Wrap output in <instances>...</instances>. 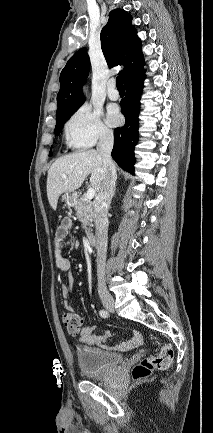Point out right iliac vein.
<instances>
[{"label": "right iliac vein", "mask_w": 213, "mask_h": 433, "mask_svg": "<svg viewBox=\"0 0 213 433\" xmlns=\"http://www.w3.org/2000/svg\"><path fill=\"white\" fill-rule=\"evenodd\" d=\"M101 301L104 305V307L109 310V311H114V306H115V301L114 298L108 294V293H103L100 296Z\"/></svg>", "instance_id": "1"}]
</instances>
